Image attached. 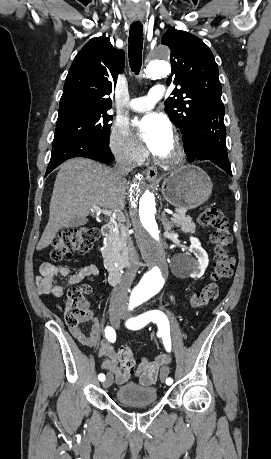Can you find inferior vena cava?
Segmentation results:
<instances>
[{
	"instance_id": "602c4592",
	"label": "inferior vena cava",
	"mask_w": 271,
	"mask_h": 459,
	"mask_svg": "<svg viewBox=\"0 0 271 459\" xmlns=\"http://www.w3.org/2000/svg\"><path fill=\"white\" fill-rule=\"evenodd\" d=\"M131 170L132 164H129V162H117L115 172L118 174V176H127ZM129 275L130 271H127V273H125L124 279L115 285L112 291L111 301H116V299H127L128 289L131 285V279H128Z\"/></svg>"
}]
</instances>
